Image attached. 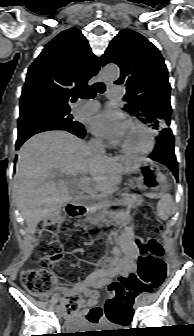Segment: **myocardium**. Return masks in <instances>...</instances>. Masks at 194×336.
I'll return each mask as SVG.
<instances>
[{
    "instance_id": "myocardium-1",
    "label": "myocardium",
    "mask_w": 194,
    "mask_h": 336,
    "mask_svg": "<svg viewBox=\"0 0 194 336\" xmlns=\"http://www.w3.org/2000/svg\"><path fill=\"white\" fill-rule=\"evenodd\" d=\"M128 123L135 125L140 129H142L143 131H145L148 134L149 143L145 148L140 150H132L123 145H119L120 150L127 155H133V156H143L150 154L155 149L157 143L155 131L151 127H149L148 125L144 124L143 122L137 119H129Z\"/></svg>"
}]
</instances>
